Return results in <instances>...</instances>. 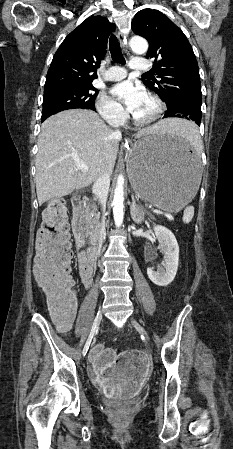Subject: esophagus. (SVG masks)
Instances as JSON below:
<instances>
[{
    "mask_svg": "<svg viewBox=\"0 0 233 449\" xmlns=\"http://www.w3.org/2000/svg\"><path fill=\"white\" fill-rule=\"evenodd\" d=\"M117 37H118V40H119V42H120L124 52L129 54L130 50H129L128 46H127V39H126L125 34L122 31L119 30L117 32ZM126 142L128 143L129 141L126 140Z\"/></svg>",
    "mask_w": 233,
    "mask_h": 449,
    "instance_id": "obj_1",
    "label": "esophagus"
}]
</instances>
